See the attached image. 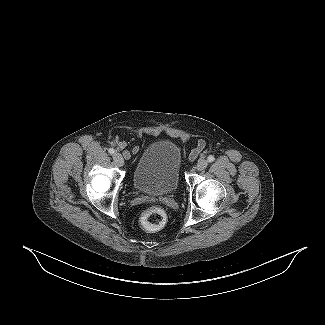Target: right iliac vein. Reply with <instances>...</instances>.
Masks as SVG:
<instances>
[{
	"instance_id": "obj_1",
	"label": "right iliac vein",
	"mask_w": 325,
	"mask_h": 325,
	"mask_svg": "<svg viewBox=\"0 0 325 325\" xmlns=\"http://www.w3.org/2000/svg\"><path fill=\"white\" fill-rule=\"evenodd\" d=\"M113 159H114L115 163L118 166H123L124 165V159H123V156L120 153H114Z\"/></svg>"
}]
</instances>
